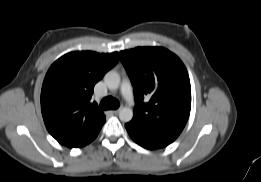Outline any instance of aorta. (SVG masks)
<instances>
[{
    "mask_svg": "<svg viewBox=\"0 0 261 182\" xmlns=\"http://www.w3.org/2000/svg\"><path fill=\"white\" fill-rule=\"evenodd\" d=\"M106 86L111 90H116L120 86V75L115 71H109L104 76ZM133 117V111L129 107H123L119 111V118L122 122H129Z\"/></svg>",
    "mask_w": 261,
    "mask_h": 182,
    "instance_id": "762f6f07",
    "label": "aorta"
}]
</instances>
